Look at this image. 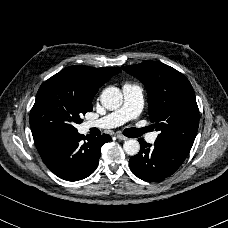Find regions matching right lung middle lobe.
I'll list each match as a JSON object with an SVG mask.
<instances>
[{
    "label": "right lung middle lobe",
    "instance_id": "obj_1",
    "mask_svg": "<svg viewBox=\"0 0 228 228\" xmlns=\"http://www.w3.org/2000/svg\"><path fill=\"white\" fill-rule=\"evenodd\" d=\"M92 111L74 89L57 80L48 79L38 90L30 112V126L34 140L52 134L77 132L81 115Z\"/></svg>",
    "mask_w": 228,
    "mask_h": 228
}]
</instances>
